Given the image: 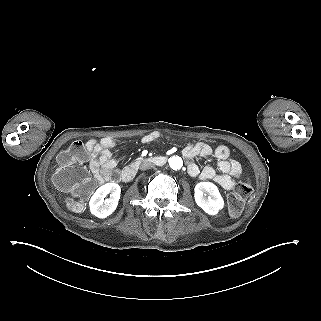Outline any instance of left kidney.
<instances>
[{
    "label": "left kidney",
    "instance_id": "obj_1",
    "mask_svg": "<svg viewBox=\"0 0 321 321\" xmlns=\"http://www.w3.org/2000/svg\"><path fill=\"white\" fill-rule=\"evenodd\" d=\"M205 192L209 195L205 197ZM195 203L208 215H217L225 206L218 187L212 182H200L194 188Z\"/></svg>",
    "mask_w": 321,
    "mask_h": 321
}]
</instances>
